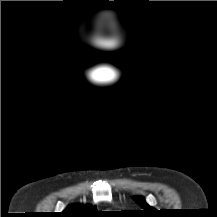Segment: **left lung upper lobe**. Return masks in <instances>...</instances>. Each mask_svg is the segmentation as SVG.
I'll return each instance as SVG.
<instances>
[{
    "label": "left lung upper lobe",
    "mask_w": 217,
    "mask_h": 217,
    "mask_svg": "<svg viewBox=\"0 0 217 217\" xmlns=\"http://www.w3.org/2000/svg\"><path fill=\"white\" fill-rule=\"evenodd\" d=\"M134 199L142 208H144L145 212H152V210H154V208L146 203L143 197L136 196Z\"/></svg>",
    "instance_id": "5c2ea615"
}]
</instances>
